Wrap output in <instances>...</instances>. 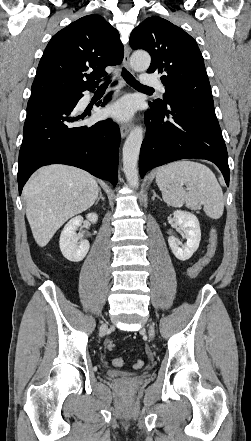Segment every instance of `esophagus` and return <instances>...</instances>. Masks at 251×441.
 <instances>
[{
	"mask_svg": "<svg viewBox=\"0 0 251 441\" xmlns=\"http://www.w3.org/2000/svg\"><path fill=\"white\" fill-rule=\"evenodd\" d=\"M123 64L127 69H130V49L128 45L125 47ZM131 128V124H122L120 127L121 136L125 138L130 132Z\"/></svg>",
	"mask_w": 251,
	"mask_h": 441,
	"instance_id": "34e87169",
	"label": "esophagus"
}]
</instances>
